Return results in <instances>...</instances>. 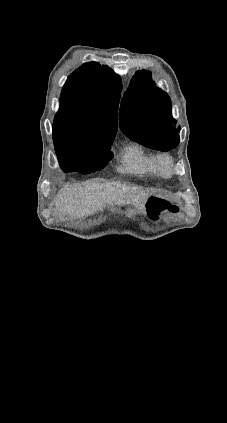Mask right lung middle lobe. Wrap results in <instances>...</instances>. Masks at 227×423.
<instances>
[{
  "label": "right lung middle lobe",
  "mask_w": 227,
  "mask_h": 423,
  "mask_svg": "<svg viewBox=\"0 0 227 423\" xmlns=\"http://www.w3.org/2000/svg\"><path fill=\"white\" fill-rule=\"evenodd\" d=\"M114 138L66 139L54 141V146L61 165L88 174L103 169L112 159Z\"/></svg>",
  "instance_id": "1"
}]
</instances>
